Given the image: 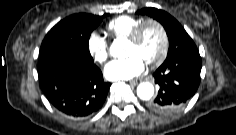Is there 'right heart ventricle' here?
<instances>
[{
    "instance_id": "1",
    "label": "right heart ventricle",
    "mask_w": 236,
    "mask_h": 135,
    "mask_svg": "<svg viewBox=\"0 0 236 135\" xmlns=\"http://www.w3.org/2000/svg\"><path fill=\"white\" fill-rule=\"evenodd\" d=\"M142 20L140 17L122 15L109 21L105 28L113 39L128 38Z\"/></svg>"
}]
</instances>
